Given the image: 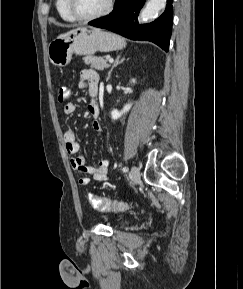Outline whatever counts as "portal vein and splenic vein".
Masks as SVG:
<instances>
[{"label": "portal vein and splenic vein", "instance_id": "1", "mask_svg": "<svg viewBox=\"0 0 243 289\" xmlns=\"http://www.w3.org/2000/svg\"><path fill=\"white\" fill-rule=\"evenodd\" d=\"M109 63H113V59L112 58L109 59Z\"/></svg>", "mask_w": 243, "mask_h": 289}]
</instances>
